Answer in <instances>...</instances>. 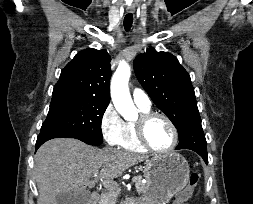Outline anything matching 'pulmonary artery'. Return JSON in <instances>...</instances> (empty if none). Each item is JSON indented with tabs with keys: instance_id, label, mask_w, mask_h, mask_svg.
<instances>
[{
	"instance_id": "1",
	"label": "pulmonary artery",
	"mask_w": 253,
	"mask_h": 204,
	"mask_svg": "<svg viewBox=\"0 0 253 204\" xmlns=\"http://www.w3.org/2000/svg\"><path fill=\"white\" fill-rule=\"evenodd\" d=\"M132 98L135 104L142 109H150L151 100L149 96L141 89L135 88L132 91Z\"/></svg>"
}]
</instances>
